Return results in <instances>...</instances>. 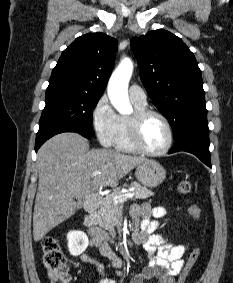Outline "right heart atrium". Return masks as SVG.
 Wrapping results in <instances>:
<instances>
[{
    "label": "right heart atrium",
    "instance_id": "obj_1",
    "mask_svg": "<svg viewBox=\"0 0 233 283\" xmlns=\"http://www.w3.org/2000/svg\"><path fill=\"white\" fill-rule=\"evenodd\" d=\"M92 126L102 146L109 147L115 142L119 115L106 96H102L92 110Z\"/></svg>",
    "mask_w": 233,
    "mask_h": 283
}]
</instances>
